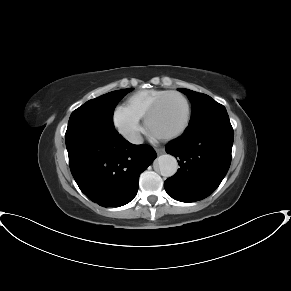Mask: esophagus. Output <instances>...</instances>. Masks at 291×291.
Listing matches in <instances>:
<instances>
[{
	"label": "esophagus",
	"instance_id": "1",
	"mask_svg": "<svg viewBox=\"0 0 291 291\" xmlns=\"http://www.w3.org/2000/svg\"><path fill=\"white\" fill-rule=\"evenodd\" d=\"M155 151L158 155L163 154L165 152L163 148H156Z\"/></svg>",
	"mask_w": 291,
	"mask_h": 291
}]
</instances>
